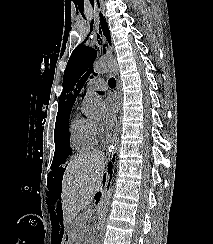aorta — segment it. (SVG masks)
Returning <instances> with one entry per match:
<instances>
[{
	"label": "aorta",
	"mask_w": 213,
	"mask_h": 244,
	"mask_svg": "<svg viewBox=\"0 0 213 244\" xmlns=\"http://www.w3.org/2000/svg\"><path fill=\"white\" fill-rule=\"evenodd\" d=\"M93 71L96 74L115 73L118 72V64L116 60L111 57H102L97 59L93 64ZM104 112V102L102 98L94 92L89 93L84 101V114L88 117H99ZM112 184L106 190L97 205L96 215L98 218V238L101 236L104 228L106 215L111 205Z\"/></svg>",
	"instance_id": "obj_1"
}]
</instances>
